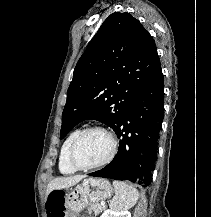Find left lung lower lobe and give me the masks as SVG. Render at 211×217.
<instances>
[{
	"label": "left lung lower lobe",
	"instance_id": "1",
	"mask_svg": "<svg viewBox=\"0 0 211 217\" xmlns=\"http://www.w3.org/2000/svg\"><path fill=\"white\" fill-rule=\"evenodd\" d=\"M163 117L164 78L161 70L135 96L115 127L120 142L114 159L105 168L88 175L148 186L152 181Z\"/></svg>",
	"mask_w": 211,
	"mask_h": 217
}]
</instances>
